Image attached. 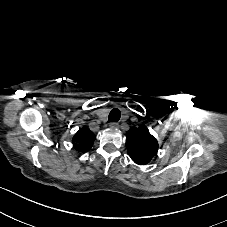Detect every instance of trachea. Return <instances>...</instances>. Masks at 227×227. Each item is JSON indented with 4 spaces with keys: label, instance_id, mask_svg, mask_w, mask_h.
I'll use <instances>...</instances> for the list:
<instances>
[{
    "label": "trachea",
    "instance_id": "3493384b",
    "mask_svg": "<svg viewBox=\"0 0 227 227\" xmlns=\"http://www.w3.org/2000/svg\"><path fill=\"white\" fill-rule=\"evenodd\" d=\"M121 117V112L118 108H114L111 110L109 117H108V122H118Z\"/></svg>",
    "mask_w": 227,
    "mask_h": 227
}]
</instances>
